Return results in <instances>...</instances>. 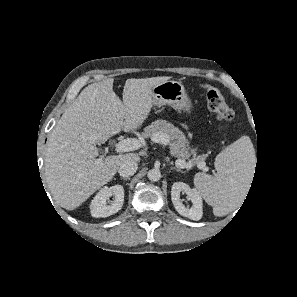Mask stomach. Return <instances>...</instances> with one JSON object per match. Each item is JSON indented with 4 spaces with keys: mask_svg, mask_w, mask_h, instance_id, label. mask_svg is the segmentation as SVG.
Segmentation results:
<instances>
[{
    "mask_svg": "<svg viewBox=\"0 0 297 297\" xmlns=\"http://www.w3.org/2000/svg\"><path fill=\"white\" fill-rule=\"evenodd\" d=\"M152 104L156 107L170 105L179 112H191L193 104L184 85L170 80L161 82L151 88Z\"/></svg>",
    "mask_w": 297,
    "mask_h": 297,
    "instance_id": "0dacf381",
    "label": "stomach"
}]
</instances>
